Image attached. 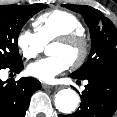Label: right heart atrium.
<instances>
[{
    "mask_svg": "<svg viewBox=\"0 0 117 117\" xmlns=\"http://www.w3.org/2000/svg\"><path fill=\"white\" fill-rule=\"evenodd\" d=\"M16 44L21 55L26 59L35 58L44 49L41 39L29 29H23L18 33Z\"/></svg>",
    "mask_w": 117,
    "mask_h": 117,
    "instance_id": "1",
    "label": "right heart atrium"
}]
</instances>
